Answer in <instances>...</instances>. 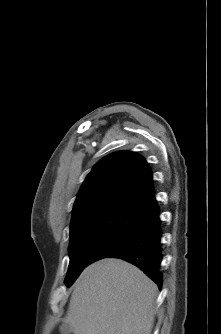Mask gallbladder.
Instances as JSON below:
<instances>
[{
	"label": "gallbladder",
	"instance_id": "gallbladder-1",
	"mask_svg": "<svg viewBox=\"0 0 221 334\" xmlns=\"http://www.w3.org/2000/svg\"><path fill=\"white\" fill-rule=\"evenodd\" d=\"M60 332H61V334H71L72 328H71V326L69 324L63 323L60 326Z\"/></svg>",
	"mask_w": 221,
	"mask_h": 334
}]
</instances>
